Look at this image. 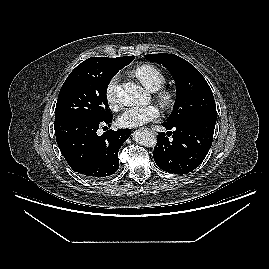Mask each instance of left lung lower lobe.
Returning <instances> with one entry per match:
<instances>
[{
    "instance_id": "left-lung-lower-lobe-1",
    "label": "left lung lower lobe",
    "mask_w": 269,
    "mask_h": 269,
    "mask_svg": "<svg viewBox=\"0 0 269 269\" xmlns=\"http://www.w3.org/2000/svg\"><path fill=\"white\" fill-rule=\"evenodd\" d=\"M216 116L203 115L175 126L162 124L167 130L158 133L153 157L157 166L169 173L193 171L206 157L213 140ZM172 135V140L168 137Z\"/></svg>"
}]
</instances>
